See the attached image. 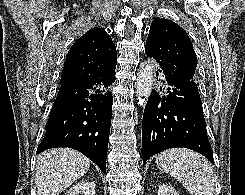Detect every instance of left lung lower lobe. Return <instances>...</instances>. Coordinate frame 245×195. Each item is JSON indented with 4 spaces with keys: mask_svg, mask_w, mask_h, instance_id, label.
<instances>
[{
    "mask_svg": "<svg viewBox=\"0 0 245 195\" xmlns=\"http://www.w3.org/2000/svg\"><path fill=\"white\" fill-rule=\"evenodd\" d=\"M160 89L152 90L142 124L143 163L168 148L185 147L214 163L197 84L156 71ZM162 91V93L160 92Z\"/></svg>",
    "mask_w": 245,
    "mask_h": 195,
    "instance_id": "left-lung-lower-lobe-1",
    "label": "left lung lower lobe"
}]
</instances>
